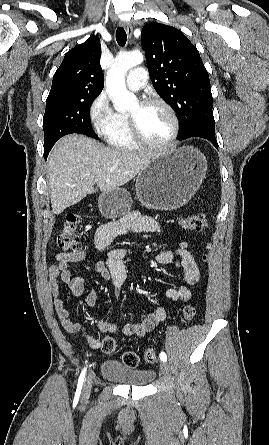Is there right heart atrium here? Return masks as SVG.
Segmentation results:
<instances>
[{
	"label": "right heart atrium",
	"instance_id": "d8ad5b80",
	"mask_svg": "<svg viewBox=\"0 0 269 445\" xmlns=\"http://www.w3.org/2000/svg\"><path fill=\"white\" fill-rule=\"evenodd\" d=\"M115 112L113 111L108 95L105 91L101 92L91 103L89 108V117L98 132H102L112 121Z\"/></svg>",
	"mask_w": 269,
	"mask_h": 445
}]
</instances>
